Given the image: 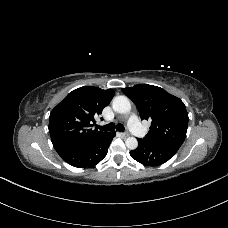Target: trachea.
I'll return each instance as SVG.
<instances>
[{
  "instance_id": "1",
  "label": "trachea",
  "mask_w": 228,
  "mask_h": 228,
  "mask_svg": "<svg viewBox=\"0 0 228 228\" xmlns=\"http://www.w3.org/2000/svg\"><path fill=\"white\" fill-rule=\"evenodd\" d=\"M98 128L101 129V130H103V131H112V130H115V128H116V130L117 131H120V132H123L124 129H125L122 124H117L115 126L114 123H109V124H107L105 126H98Z\"/></svg>"
}]
</instances>
